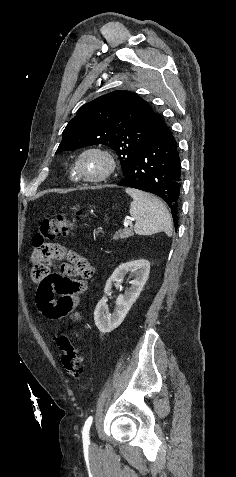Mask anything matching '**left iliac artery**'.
Wrapping results in <instances>:
<instances>
[{
	"label": "left iliac artery",
	"instance_id": "1",
	"mask_svg": "<svg viewBox=\"0 0 236 477\" xmlns=\"http://www.w3.org/2000/svg\"><path fill=\"white\" fill-rule=\"evenodd\" d=\"M92 421H93V417H92V416L88 417V419L86 420V422H85V424H84V426H83L82 439H83V443H85V444H89V443H90V440H89V430H90Z\"/></svg>",
	"mask_w": 236,
	"mask_h": 477
}]
</instances>
